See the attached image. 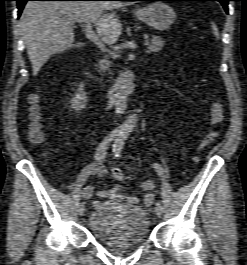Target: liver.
Returning a JSON list of instances; mask_svg holds the SVG:
<instances>
[{"instance_id":"liver-1","label":"liver","mask_w":247,"mask_h":265,"mask_svg":"<svg viewBox=\"0 0 247 265\" xmlns=\"http://www.w3.org/2000/svg\"><path fill=\"white\" fill-rule=\"evenodd\" d=\"M121 2L91 1H29L21 15L20 27L32 65L37 75L44 63L53 55L81 44H74L73 24L94 23L99 37L106 44H114L121 34V23L114 11Z\"/></svg>"}]
</instances>
